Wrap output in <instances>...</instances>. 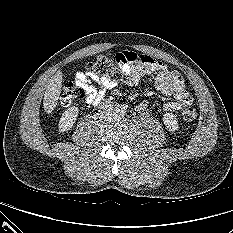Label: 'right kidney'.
<instances>
[{"label": "right kidney", "mask_w": 233, "mask_h": 233, "mask_svg": "<svg viewBox=\"0 0 233 233\" xmlns=\"http://www.w3.org/2000/svg\"><path fill=\"white\" fill-rule=\"evenodd\" d=\"M79 110L77 107L68 108L62 115L59 121V130L61 132L68 131L75 123Z\"/></svg>", "instance_id": "1"}]
</instances>
